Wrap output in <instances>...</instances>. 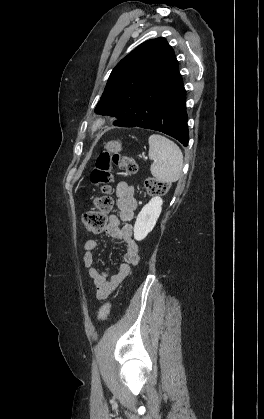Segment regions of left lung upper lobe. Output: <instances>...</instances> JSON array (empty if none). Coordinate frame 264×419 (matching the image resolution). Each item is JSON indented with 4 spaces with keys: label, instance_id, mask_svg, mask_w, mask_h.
<instances>
[{
    "label": "left lung upper lobe",
    "instance_id": "1",
    "mask_svg": "<svg viewBox=\"0 0 264 419\" xmlns=\"http://www.w3.org/2000/svg\"><path fill=\"white\" fill-rule=\"evenodd\" d=\"M178 62L164 38L146 41L124 57L111 72L95 112L119 116L146 91L178 74Z\"/></svg>",
    "mask_w": 264,
    "mask_h": 419
}]
</instances>
